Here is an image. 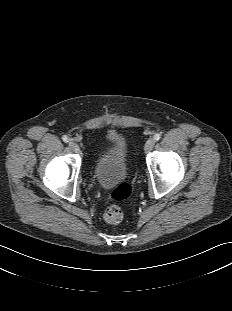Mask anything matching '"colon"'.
<instances>
[{
	"label": "colon",
	"mask_w": 232,
	"mask_h": 311,
	"mask_svg": "<svg viewBox=\"0 0 232 311\" xmlns=\"http://www.w3.org/2000/svg\"><path fill=\"white\" fill-rule=\"evenodd\" d=\"M131 186L128 183H122L112 190L108 195L109 205L103 212V219L109 224H118L123 218L121 208L114 204L127 199L131 194Z\"/></svg>",
	"instance_id": "1"
}]
</instances>
